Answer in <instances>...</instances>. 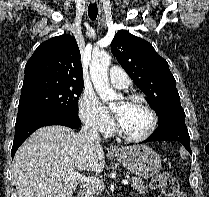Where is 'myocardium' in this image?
Wrapping results in <instances>:
<instances>
[{
    "label": "myocardium",
    "mask_w": 209,
    "mask_h": 197,
    "mask_svg": "<svg viewBox=\"0 0 209 197\" xmlns=\"http://www.w3.org/2000/svg\"><path fill=\"white\" fill-rule=\"evenodd\" d=\"M126 100L129 101V102H139V103H141L146 108V110L149 112L150 117H151V123H150L149 127L147 128V130L144 133H142L140 135H137V136H133V135L127 134L121 128V126L119 125V122L117 120L116 121V132L121 138H123L124 140H126L128 142H142V141H145L154 133V131L157 128V125H158L157 113L142 95L132 94V95H129L126 98Z\"/></svg>",
    "instance_id": "f54148a6"
}]
</instances>
